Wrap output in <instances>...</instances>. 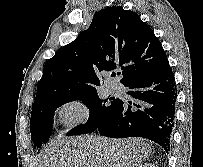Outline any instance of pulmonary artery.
Listing matches in <instances>:
<instances>
[{"label": "pulmonary artery", "instance_id": "obj_1", "mask_svg": "<svg viewBox=\"0 0 203 167\" xmlns=\"http://www.w3.org/2000/svg\"><path fill=\"white\" fill-rule=\"evenodd\" d=\"M118 88H119V86H118L116 83H111V84H109V89H110L112 92L117 91Z\"/></svg>", "mask_w": 203, "mask_h": 167}]
</instances>
